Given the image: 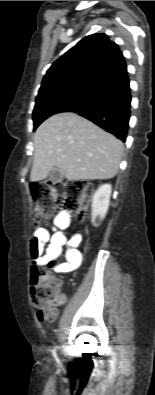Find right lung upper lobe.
<instances>
[{
  "mask_svg": "<svg viewBox=\"0 0 155 395\" xmlns=\"http://www.w3.org/2000/svg\"><path fill=\"white\" fill-rule=\"evenodd\" d=\"M127 70L118 45L106 34L84 37L48 69L40 90L69 81L102 84L109 77Z\"/></svg>",
  "mask_w": 155,
  "mask_h": 395,
  "instance_id": "obj_1",
  "label": "right lung upper lobe"
}]
</instances>
